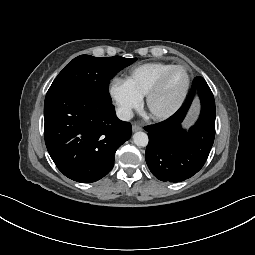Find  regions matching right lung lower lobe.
Here are the masks:
<instances>
[{"mask_svg":"<svg viewBox=\"0 0 255 255\" xmlns=\"http://www.w3.org/2000/svg\"><path fill=\"white\" fill-rule=\"evenodd\" d=\"M44 120L52 160L65 176L81 183L108 174L116 150L131 137V124L116 117L112 103L81 90L48 91Z\"/></svg>","mask_w":255,"mask_h":255,"instance_id":"98d812e1","label":"right lung lower lobe"}]
</instances>
